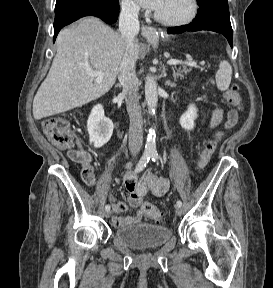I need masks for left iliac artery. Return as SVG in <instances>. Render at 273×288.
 Instances as JSON below:
<instances>
[{"instance_id": "44dca946", "label": "left iliac artery", "mask_w": 273, "mask_h": 288, "mask_svg": "<svg viewBox=\"0 0 273 288\" xmlns=\"http://www.w3.org/2000/svg\"><path fill=\"white\" fill-rule=\"evenodd\" d=\"M151 159H152V161H156L157 159H158V153H152L151 154ZM176 205L178 206V207H181L182 206V202L180 201V200H178L177 202H176Z\"/></svg>"}]
</instances>
